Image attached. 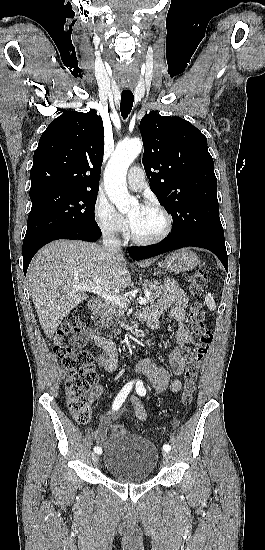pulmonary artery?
Instances as JSON below:
<instances>
[{"mask_svg": "<svg viewBox=\"0 0 265 550\" xmlns=\"http://www.w3.org/2000/svg\"><path fill=\"white\" fill-rule=\"evenodd\" d=\"M128 187L133 191H140L145 185V175L140 166L130 168L127 175Z\"/></svg>", "mask_w": 265, "mask_h": 550, "instance_id": "obj_1", "label": "pulmonary artery"}]
</instances>
